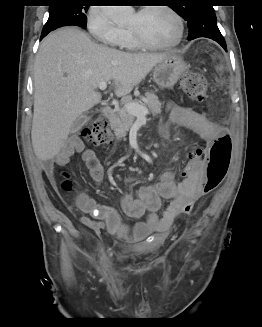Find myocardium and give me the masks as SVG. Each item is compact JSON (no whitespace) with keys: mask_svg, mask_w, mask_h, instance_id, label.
<instances>
[{"mask_svg":"<svg viewBox=\"0 0 262 327\" xmlns=\"http://www.w3.org/2000/svg\"><path fill=\"white\" fill-rule=\"evenodd\" d=\"M150 9H161L166 12H168L175 20L177 24V36L176 38L165 44H158L151 42L150 40L146 39L143 35H141L137 30L133 28H128V31L132 34L133 38L135 41L138 43L140 47L147 48V49H153V50H167L174 48L178 46L181 41L183 40L184 34H185V26H184V21L181 15L171 6L166 5V4H160V5H153V6H148V7H142L138 12H143L146 10Z\"/></svg>","mask_w":262,"mask_h":327,"instance_id":"f54148a6","label":"myocardium"}]
</instances>
